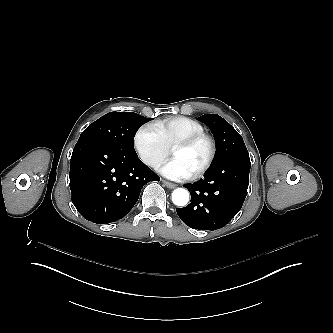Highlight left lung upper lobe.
Listing matches in <instances>:
<instances>
[{"mask_svg":"<svg viewBox=\"0 0 333 333\" xmlns=\"http://www.w3.org/2000/svg\"><path fill=\"white\" fill-rule=\"evenodd\" d=\"M198 120L211 129L216 140L217 154L213 165H217L233 155L248 153L241 135L219 115H203Z\"/></svg>","mask_w":333,"mask_h":333,"instance_id":"5c2ea615","label":"left lung upper lobe"}]
</instances>
